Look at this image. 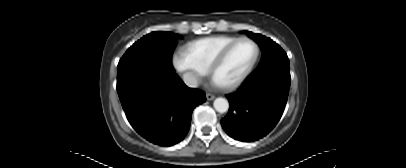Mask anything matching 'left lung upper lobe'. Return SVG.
Here are the masks:
<instances>
[{
  "instance_id": "5c2ea615",
  "label": "left lung upper lobe",
  "mask_w": 406,
  "mask_h": 168,
  "mask_svg": "<svg viewBox=\"0 0 406 168\" xmlns=\"http://www.w3.org/2000/svg\"><path fill=\"white\" fill-rule=\"evenodd\" d=\"M262 49L261 62L256 70H276L289 73V59L284 50L270 38L252 32L247 33Z\"/></svg>"
}]
</instances>
